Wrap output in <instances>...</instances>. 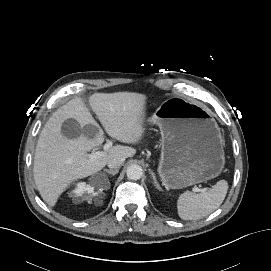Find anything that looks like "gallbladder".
Wrapping results in <instances>:
<instances>
[{"label": "gallbladder", "mask_w": 271, "mask_h": 271, "mask_svg": "<svg viewBox=\"0 0 271 271\" xmlns=\"http://www.w3.org/2000/svg\"><path fill=\"white\" fill-rule=\"evenodd\" d=\"M61 132L68 139H76L81 134H84L86 136H92L94 133L97 132V128L92 124L81 128V126L76 120L67 119L62 124Z\"/></svg>", "instance_id": "bac80fb5"}]
</instances>
